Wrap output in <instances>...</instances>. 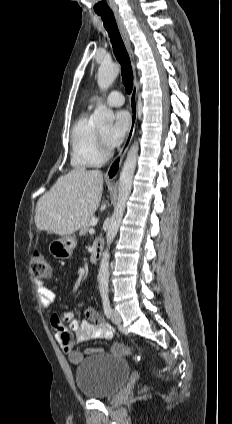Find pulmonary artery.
<instances>
[{"label":"pulmonary artery","instance_id":"obj_1","mask_svg":"<svg viewBox=\"0 0 232 424\" xmlns=\"http://www.w3.org/2000/svg\"><path fill=\"white\" fill-rule=\"evenodd\" d=\"M101 101V98L96 97L93 99V101L90 103V108H93L95 105H97ZM125 98L124 95L121 92L118 91H112L109 93L105 99L104 102L112 107H119L124 104Z\"/></svg>","mask_w":232,"mask_h":424}]
</instances>
